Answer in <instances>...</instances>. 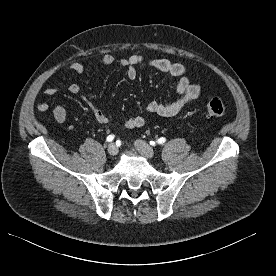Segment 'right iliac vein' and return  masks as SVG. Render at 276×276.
Returning a JSON list of instances; mask_svg holds the SVG:
<instances>
[{
  "label": "right iliac vein",
  "mask_w": 276,
  "mask_h": 276,
  "mask_svg": "<svg viewBox=\"0 0 276 276\" xmlns=\"http://www.w3.org/2000/svg\"><path fill=\"white\" fill-rule=\"evenodd\" d=\"M108 153L111 155V156H116L118 154V147L116 144L114 143H111L109 146H108Z\"/></svg>",
  "instance_id": "right-iliac-vein-1"
}]
</instances>
